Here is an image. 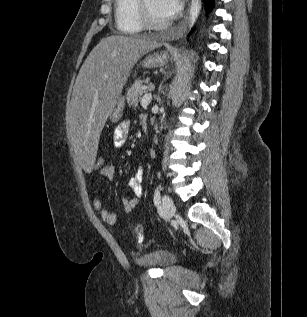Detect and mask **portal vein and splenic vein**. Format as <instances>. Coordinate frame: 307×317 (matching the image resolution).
<instances>
[{
	"mask_svg": "<svg viewBox=\"0 0 307 317\" xmlns=\"http://www.w3.org/2000/svg\"><path fill=\"white\" fill-rule=\"evenodd\" d=\"M152 100V94L151 93H146L141 101H140V104L142 107H147L149 105V103L151 102Z\"/></svg>",
	"mask_w": 307,
	"mask_h": 317,
	"instance_id": "obj_1",
	"label": "portal vein and splenic vein"
}]
</instances>
